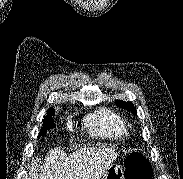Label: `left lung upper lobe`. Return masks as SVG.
Returning a JSON list of instances; mask_svg holds the SVG:
<instances>
[{
    "label": "left lung upper lobe",
    "instance_id": "left-lung-upper-lobe-1",
    "mask_svg": "<svg viewBox=\"0 0 183 179\" xmlns=\"http://www.w3.org/2000/svg\"><path fill=\"white\" fill-rule=\"evenodd\" d=\"M115 103L117 106L127 109V110L131 111L132 113L136 114V108L134 107V105L131 102H123V101L117 100V101H115Z\"/></svg>",
    "mask_w": 183,
    "mask_h": 179
}]
</instances>
